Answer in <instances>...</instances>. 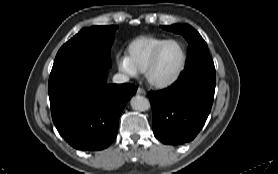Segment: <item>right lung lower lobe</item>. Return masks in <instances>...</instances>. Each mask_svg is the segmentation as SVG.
Instances as JSON below:
<instances>
[{
	"label": "right lung lower lobe",
	"instance_id": "98d812e1",
	"mask_svg": "<svg viewBox=\"0 0 278 174\" xmlns=\"http://www.w3.org/2000/svg\"><path fill=\"white\" fill-rule=\"evenodd\" d=\"M107 68L68 63L51 71L49 98L53 122L74 148L101 150L115 139L118 120L137 87L106 84Z\"/></svg>",
	"mask_w": 278,
	"mask_h": 174
}]
</instances>
